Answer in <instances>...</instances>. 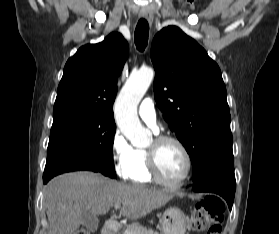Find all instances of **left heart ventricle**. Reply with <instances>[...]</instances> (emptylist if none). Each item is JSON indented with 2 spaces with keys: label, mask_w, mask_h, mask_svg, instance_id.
Masks as SVG:
<instances>
[{
  "label": "left heart ventricle",
  "mask_w": 279,
  "mask_h": 234,
  "mask_svg": "<svg viewBox=\"0 0 279 234\" xmlns=\"http://www.w3.org/2000/svg\"><path fill=\"white\" fill-rule=\"evenodd\" d=\"M153 141L148 146L151 147ZM158 165L162 176L168 181L179 180L186 170V159L181 149L173 143H165L159 149Z\"/></svg>",
  "instance_id": "1"
}]
</instances>
